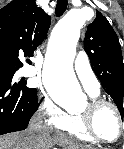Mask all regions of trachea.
Listing matches in <instances>:
<instances>
[{"mask_svg": "<svg viewBox=\"0 0 124 149\" xmlns=\"http://www.w3.org/2000/svg\"><path fill=\"white\" fill-rule=\"evenodd\" d=\"M68 5L67 0H57V5L55 9V14L57 17H60L63 15V13L66 11Z\"/></svg>", "mask_w": 124, "mask_h": 149, "instance_id": "1", "label": "trachea"}]
</instances>
